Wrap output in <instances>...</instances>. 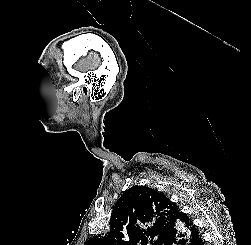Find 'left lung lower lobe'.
Instances as JSON below:
<instances>
[{"mask_svg": "<svg viewBox=\"0 0 251 245\" xmlns=\"http://www.w3.org/2000/svg\"><path fill=\"white\" fill-rule=\"evenodd\" d=\"M182 218L187 220V223L183 222L182 230L185 233L175 232L171 234L164 245H204L202 236L197 229V227L193 224L191 219L183 213Z\"/></svg>", "mask_w": 251, "mask_h": 245, "instance_id": "left-lung-lower-lobe-1", "label": "left lung lower lobe"}]
</instances>
